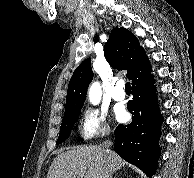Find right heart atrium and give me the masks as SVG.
<instances>
[{
	"mask_svg": "<svg viewBox=\"0 0 194 178\" xmlns=\"http://www.w3.org/2000/svg\"><path fill=\"white\" fill-rule=\"evenodd\" d=\"M109 133L110 127L104 113L91 107L81 112L78 121V136L81 141L91 142Z\"/></svg>",
	"mask_w": 194,
	"mask_h": 178,
	"instance_id": "obj_1",
	"label": "right heart atrium"
}]
</instances>
